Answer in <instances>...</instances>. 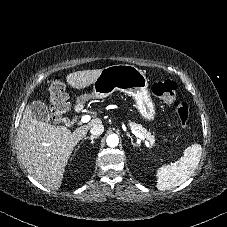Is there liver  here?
Returning <instances> with one entry per match:
<instances>
[{
    "mask_svg": "<svg viewBox=\"0 0 227 227\" xmlns=\"http://www.w3.org/2000/svg\"><path fill=\"white\" fill-rule=\"evenodd\" d=\"M102 69L84 70L67 75V83L78 90L90 86ZM93 118L88 124L71 132L65 126H53L36 120L28 105L18 130V149L22 163L28 173L43 186L57 190L63 180V173L75 146L88 130L101 123Z\"/></svg>",
    "mask_w": 227,
    "mask_h": 227,
    "instance_id": "liver-1",
    "label": "liver"
}]
</instances>
